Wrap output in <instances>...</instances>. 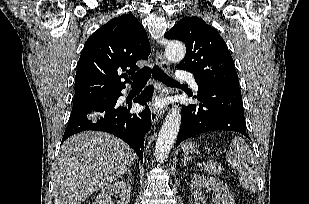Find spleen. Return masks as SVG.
I'll return each instance as SVG.
<instances>
[{
    "mask_svg": "<svg viewBox=\"0 0 309 204\" xmlns=\"http://www.w3.org/2000/svg\"><path fill=\"white\" fill-rule=\"evenodd\" d=\"M226 159L229 164L237 168L241 185L255 193L258 188L259 172L252 150L244 139L235 137L232 140Z\"/></svg>",
    "mask_w": 309,
    "mask_h": 204,
    "instance_id": "3e777b00",
    "label": "spleen"
}]
</instances>
